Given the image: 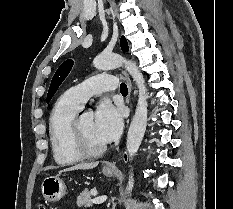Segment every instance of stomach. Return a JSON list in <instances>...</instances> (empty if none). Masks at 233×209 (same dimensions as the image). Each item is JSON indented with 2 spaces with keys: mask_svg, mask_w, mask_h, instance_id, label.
<instances>
[{
  "mask_svg": "<svg viewBox=\"0 0 233 209\" xmlns=\"http://www.w3.org/2000/svg\"><path fill=\"white\" fill-rule=\"evenodd\" d=\"M103 174L112 177L115 170L103 169ZM41 192L45 200L49 202H57L66 194V185L64 181L57 176L46 177L41 184Z\"/></svg>",
  "mask_w": 233,
  "mask_h": 209,
  "instance_id": "stomach-1",
  "label": "stomach"
}]
</instances>
